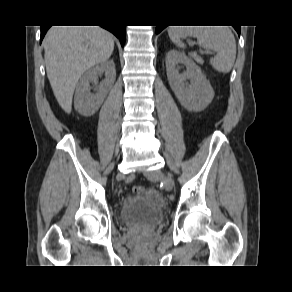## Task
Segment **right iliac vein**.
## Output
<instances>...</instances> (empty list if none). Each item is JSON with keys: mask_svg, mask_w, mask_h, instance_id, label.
Here are the masks:
<instances>
[{"mask_svg": "<svg viewBox=\"0 0 292 292\" xmlns=\"http://www.w3.org/2000/svg\"><path fill=\"white\" fill-rule=\"evenodd\" d=\"M122 177V175H119V178H121Z\"/></svg>", "mask_w": 292, "mask_h": 292, "instance_id": "63e3f726", "label": "right iliac vein"}]
</instances>
